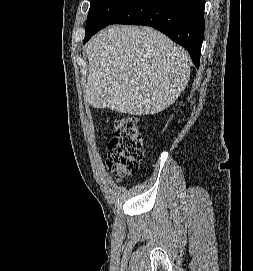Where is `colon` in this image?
<instances>
[{
    "label": "colon",
    "instance_id": "1",
    "mask_svg": "<svg viewBox=\"0 0 253 271\" xmlns=\"http://www.w3.org/2000/svg\"><path fill=\"white\" fill-rule=\"evenodd\" d=\"M143 156V139L133 117L118 118L108 143L106 164L119 178L138 171Z\"/></svg>",
    "mask_w": 253,
    "mask_h": 271
}]
</instances>
